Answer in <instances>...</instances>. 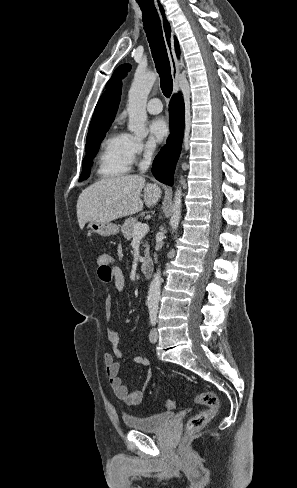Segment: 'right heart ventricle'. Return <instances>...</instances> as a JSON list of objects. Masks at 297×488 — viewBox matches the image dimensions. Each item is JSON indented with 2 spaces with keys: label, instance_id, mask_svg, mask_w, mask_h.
<instances>
[{
  "label": "right heart ventricle",
  "instance_id": "obj_1",
  "mask_svg": "<svg viewBox=\"0 0 297 488\" xmlns=\"http://www.w3.org/2000/svg\"><path fill=\"white\" fill-rule=\"evenodd\" d=\"M130 164L125 134L110 133L101 144L97 158V174L105 178L117 177L126 173Z\"/></svg>",
  "mask_w": 297,
  "mask_h": 488
}]
</instances>
